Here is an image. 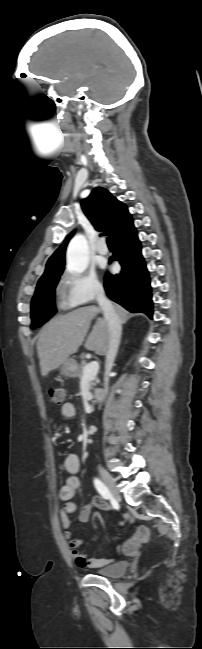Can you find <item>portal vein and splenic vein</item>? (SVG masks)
<instances>
[{
	"label": "portal vein and splenic vein",
	"instance_id": "18ae733b",
	"mask_svg": "<svg viewBox=\"0 0 202 649\" xmlns=\"http://www.w3.org/2000/svg\"><path fill=\"white\" fill-rule=\"evenodd\" d=\"M99 370V364L96 361H92L84 367L83 370V380H93Z\"/></svg>",
	"mask_w": 202,
	"mask_h": 649
}]
</instances>
